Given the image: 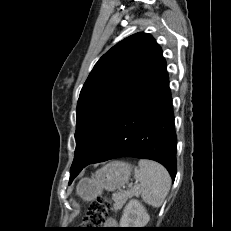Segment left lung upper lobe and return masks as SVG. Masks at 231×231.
<instances>
[{
	"instance_id": "1",
	"label": "left lung upper lobe",
	"mask_w": 231,
	"mask_h": 231,
	"mask_svg": "<svg viewBox=\"0 0 231 231\" xmlns=\"http://www.w3.org/2000/svg\"><path fill=\"white\" fill-rule=\"evenodd\" d=\"M161 55L155 39L140 32L125 38L99 59L78 100L76 149L70 172L87 162L109 124Z\"/></svg>"
}]
</instances>
